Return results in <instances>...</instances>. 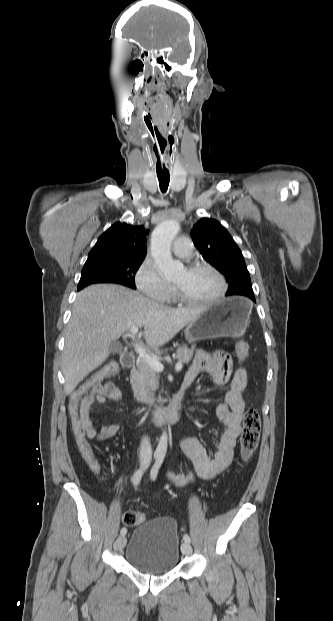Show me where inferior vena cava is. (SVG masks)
Instances as JSON below:
<instances>
[{
  "label": "inferior vena cava",
  "mask_w": 333,
  "mask_h": 621,
  "mask_svg": "<svg viewBox=\"0 0 333 621\" xmlns=\"http://www.w3.org/2000/svg\"><path fill=\"white\" fill-rule=\"evenodd\" d=\"M140 462L149 464L152 459V447L148 437H143L140 443Z\"/></svg>",
  "instance_id": "602c4592"
}]
</instances>
